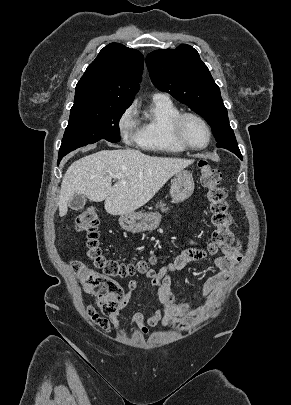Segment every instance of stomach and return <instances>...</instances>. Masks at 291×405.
Masks as SVG:
<instances>
[{"instance_id": "0dacf381", "label": "stomach", "mask_w": 291, "mask_h": 405, "mask_svg": "<svg viewBox=\"0 0 291 405\" xmlns=\"http://www.w3.org/2000/svg\"><path fill=\"white\" fill-rule=\"evenodd\" d=\"M194 191L192 174L182 170L172 179L170 195L173 203H180L191 197ZM162 216L153 212H130L120 215V226L130 232L152 231L156 229Z\"/></svg>"}]
</instances>
